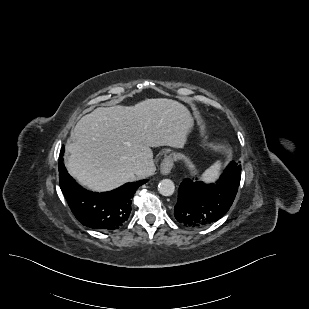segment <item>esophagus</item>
Wrapping results in <instances>:
<instances>
[{
    "label": "esophagus",
    "mask_w": 309,
    "mask_h": 309,
    "mask_svg": "<svg viewBox=\"0 0 309 309\" xmlns=\"http://www.w3.org/2000/svg\"><path fill=\"white\" fill-rule=\"evenodd\" d=\"M173 168V160L171 156H166L160 165V170L163 175H168Z\"/></svg>",
    "instance_id": "1"
}]
</instances>
